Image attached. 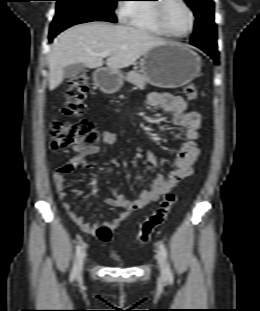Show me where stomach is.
Returning a JSON list of instances; mask_svg holds the SVG:
<instances>
[{"label":"stomach","mask_w":260,"mask_h":311,"mask_svg":"<svg viewBox=\"0 0 260 311\" xmlns=\"http://www.w3.org/2000/svg\"><path fill=\"white\" fill-rule=\"evenodd\" d=\"M201 57L182 44L165 43L150 49L140 61V71L150 84L162 88H177L195 79L201 71ZM95 82L108 94L117 92L123 83L118 70L97 71Z\"/></svg>","instance_id":"obj_1"}]
</instances>
